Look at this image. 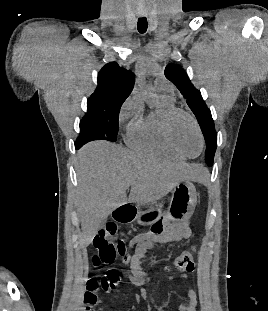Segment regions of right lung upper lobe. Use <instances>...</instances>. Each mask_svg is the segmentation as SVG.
I'll return each instance as SVG.
<instances>
[{
  "mask_svg": "<svg viewBox=\"0 0 268 311\" xmlns=\"http://www.w3.org/2000/svg\"><path fill=\"white\" fill-rule=\"evenodd\" d=\"M97 80L98 86L88 100L121 106L133 90L135 75L110 62L99 71Z\"/></svg>",
  "mask_w": 268,
  "mask_h": 311,
  "instance_id": "right-lung-upper-lobe-1",
  "label": "right lung upper lobe"
}]
</instances>
